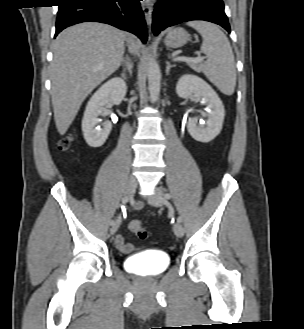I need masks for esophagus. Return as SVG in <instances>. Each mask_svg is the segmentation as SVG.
Returning <instances> with one entry per match:
<instances>
[{
  "mask_svg": "<svg viewBox=\"0 0 304 329\" xmlns=\"http://www.w3.org/2000/svg\"><path fill=\"white\" fill-rule=\"evenodd\" d=\"M141 6L145 15L146 22L150 26L152 23L153 4L150 0H143Z\"/></svg>",
  "mask_w": 304,
  "mask_h": 329,
  "instance_id": "34e87169",
  "label": "esophagus"
}]
</instances>
